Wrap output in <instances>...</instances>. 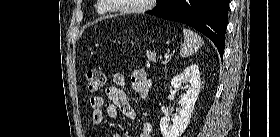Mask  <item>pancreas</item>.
<instances>
[{"instance_id":"pancreas-1","label":"pancreas","mask_w":280,"mask_h":137,"mask_svg":"<svg viewBox=\"0 0 280 137\" xmlns=\"http://www.w3.org/2000/svg\"><path fill=\"white\" fill-rule=\"evenodd\" d=\"M147 58H148L150 61H155V60H156V54L153 53V52H148V53H147Z\"/></svg>"}]
</instances>
